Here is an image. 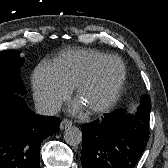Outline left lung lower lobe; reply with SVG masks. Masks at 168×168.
<instances>
[{"mask_svg": "<svg viewBox=\"0 0 168 168\" xmlns=\"http://www.w3.org/2000/svg\"><path fill=\"white\" fill-rule=\"evenodd\" d=\"M151 102L141 96L136 113L117 109L82 126L83 168H133L149 140Z\"/></svg>", "mask_w": 168, "mask_h": 168, "instance_id": "1", "label": "left lung lower lobe"}]
</instances>
